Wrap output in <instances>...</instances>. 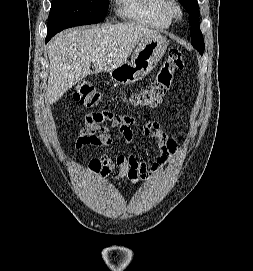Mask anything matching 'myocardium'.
I'll return each mask as SVG.
<instances>
[{
	"label": "myocardium",
	"instance_id": "obj_1",
	"mask_svg": "<svg viewBox=\"0 0 253 271\" xmlns=\"http://www.w3.org/2000/svg\"><path fill=\"white\" fill-rule=\"evenodd\" d=\"M166 12L171 20L180 19L183 15V9L176 0H167Z\"/></svg>",
	"mask_w": 253,
	"mask_h": 271
}]
</instances>
